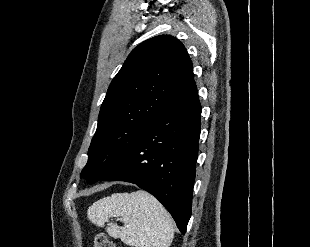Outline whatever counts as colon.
<instances>
[{
  "mask_svg": "<svg viewBox=\"0 0 310 247\" xmlns=\"http://www.w3.org/2000/svg\"><path fill=\"white\" fill-rule=\"evenodd\" d=\"M94 247H116L109 237L102 232L96 233L93 241Z\"/></svg>",
  "mask_w": 310,
  "mask_h": 247,
  "instance_id": "1",
  "label": "colon"
}]
</instances>
